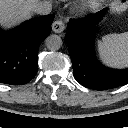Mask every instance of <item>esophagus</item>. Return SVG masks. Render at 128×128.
<instances>
[{
  "instance_id": "34e87169",
  "label": "esophagus",
  "mask_w": 128,
  "mask_h": 128,
  "mask_svg": "<svg viewBox=\"0 0 128 128\" xmlns=\"http://www.w3.org/2000/svg\"><path fill=\"white\" fill-rule=\"evenodd\" d=\"M52 30L55 33H61L65 30V23L62 20H56L52 24Z\"/></svg>"
}]
</instances>
